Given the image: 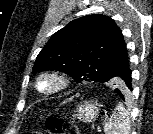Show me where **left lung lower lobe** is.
Segmentation results:
<instances>
[{
	"instance_id": "1",
	"label": "left lung lower lobe",
	"mask_w": 153,
	"mask_h": 134,
	"mask_svg": "<svg viewBox=\"0 0 153 134\" xmlns=\"http://www.w3.org/2000/svg\"><path fill=\"white\" fill-rule=\"evenodd\" d=\"M117 77L119 80L125 85L127 89V93L129 90H132V78H131V70L129 68V65L127 64L124 68H121L119 72H117ZM122 99H124V96L127 94L125 92H122L118 89L114 90Z\"/></svg>"
}]
</instances>
